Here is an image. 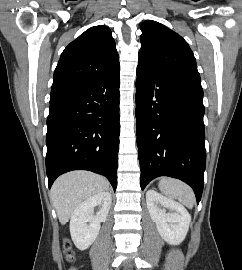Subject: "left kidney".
<instances>
[{
  "label": "left kidney",
  "instance_id": "5707ae66",
  "mask_svg": "<svg viewBox=\"0 0 242 270\" xmlns=\"http://www.w3.org/2000/svg\"><path fill=\"white\" fill-rule=\"evenodd\" d=\"M146 203L161 237L171 245L182 243L191 222V216L185 207L154 190L146 192ZM166 209L170 212L167 213Z\"/></svg>",
  "mask_w": 242,
  "mask_h": 270
}]
</instances>
